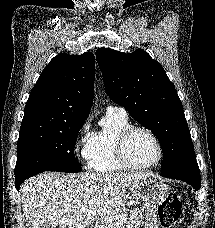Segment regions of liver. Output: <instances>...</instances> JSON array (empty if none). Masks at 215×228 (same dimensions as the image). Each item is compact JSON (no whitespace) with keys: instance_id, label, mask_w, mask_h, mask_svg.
Returning a JSON list of instances; mask_svg holds the SVG:
<instances>
[{"instance_id":"obj_1","label":"liver","mask_w":215,"mask_h":228,"mask_svg":"<svg viewBox=\"0 0 215 228\" xmlns=\"http://www.w3.org/2000/svg\"><path fill=\"white\" fill-rule=\"evenodd\" d=\"M143 178H148L143 172H44L23 182L19 198L30 228H124L126 190Z\"/></svg>"}]
</instances>
